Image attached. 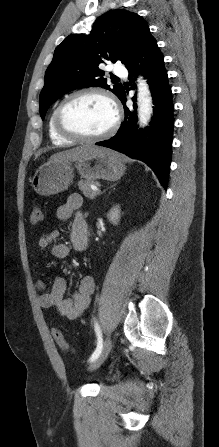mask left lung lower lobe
I'll use <instances>...</instances> for the list:
<instances>
[{"instance_id": "1", "label": "left lung lower lobe", "mask_w": 219, "mask_h": 447, "mask_svg": "<svg viewBox=\"0 0 219 447\" xmlns=\"http://www.w3.org/2000/svg\"><path fill=\"white\" fill-rule=\"evenodd\" d=\"M125 67L129 71L130 79L137 77L139 71L148 79L155 105L154 117L149 127L138 131L136 105H133L134 110L126 107V92H124L120 99L124 106V123L114 137L96 145L112 148L145 162L166 188L171 163L174 105L164 67V56L151 34ZM132 100L135 101L136 98L133 97Z\"/></svg>"}]
</instances>
